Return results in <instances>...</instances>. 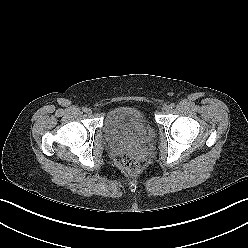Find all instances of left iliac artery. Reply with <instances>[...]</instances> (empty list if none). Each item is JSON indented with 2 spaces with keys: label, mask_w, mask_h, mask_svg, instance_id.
<instances>
[{
  "label": "left iliac artery",
  "mask_w": 248,
  "mask_h": 248,
  "mask_svg": "<svg viewBox=\"0 0 248 248\" xmlns=\"http://www.w3.org/2000/svg\"><path fill=\"white\" fill-rule=\"evenodd\" d=\"M170 106H171V108H174L175 107V103H171Z\"/></svg>",
  "instance_id": "left-iliac-artery-1"
}]
</instances>
